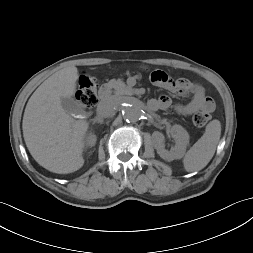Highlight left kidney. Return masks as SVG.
Wrapping results in <instances>:
<instances>
[{"label":"left kidney","instance_id":"obj_1","mask_svg":"<svg viewBox=\"0 0 253 253\" xmlns=\"http://www.w3.org/2000/svg\"><path fill=\"white\" fill-rule=\"evenodd\" d=\"M170 133L172 138L175 140V145L170 149V151L165 149V137L161 132L155 131L152 134L154 148L156 149L158 155L166 161L181 159L184 156L186 147L189 143V134L182 126L173 125Z\"/></svg>","mask_w":253,"mask_h":253}]
</instances>
